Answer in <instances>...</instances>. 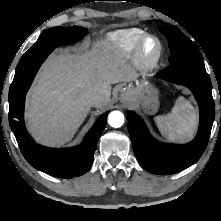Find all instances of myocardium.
Returning <instances> with one entry per match:
<instances>
[{
	"instance_id": "f54148a6",
	"label": "myocardium",
	"mask_w": 221,
	"mask_h": 221,
	"mask_svg": "<svg viewBox=\"0 0 221 221\" xmlns=\"http://www.w3.org/2000/svg\"><path fill=\"white\" fill-rule=\"evenodd\" d=\"M149 42H153L154 48L151 52L147 50ZM163 46L160 39L152 34H145L136 47V61L144 71L153 69L161 59Z\"/></svg>"
}]
</instances>
